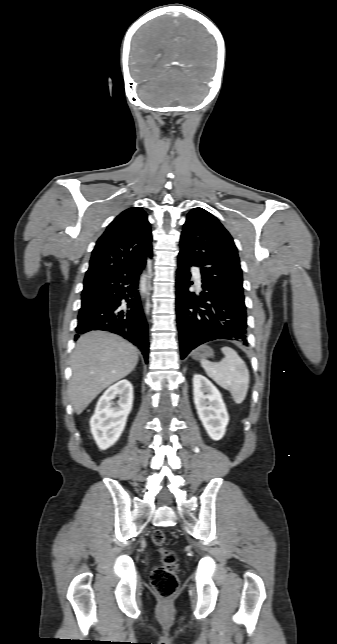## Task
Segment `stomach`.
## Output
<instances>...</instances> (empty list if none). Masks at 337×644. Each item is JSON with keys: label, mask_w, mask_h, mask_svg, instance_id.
Returning a JSON list of instances; mask_svg holds the SVG:
<instances>
[{"label": "stomach", "mask_w": 337, "mask_h": 644, "mask_svg": "<svg viewBox=\"0 0 337 644\" xmlns=\"http://www.w3.org/2000/svg\"><path fill=\"white\" fill-rule=\"evenodd\" d=\"M213 354L214 352L210 347L202 346L193 352L192 357L195 360H202L213 357Z\"/></svg>", "instance_id": "0dacf381"}]
</instances>
